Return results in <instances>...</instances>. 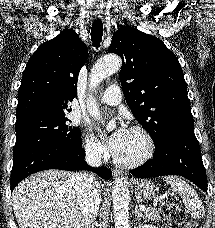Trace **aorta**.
<instances>
[{
	"label": "aorta",
	"instance_id": "obj_1",
	"mask_svg": "<svg viewBox=\"0 0 215 228\" xmlns=\"http://www.w3.org/2000/svg\"><path fill=\"white\" fill-rule=\"evenodd\" d=\"M122 66V60L119 56H108V58H101L96 62L91 70V82H102L111 74L118 72ZM90 114L94 120H100V112H98L97 104L90 102ZM129 202L130 194L128 190V182L124 176L117 178L112 188V204H113V218L115 228H130L129 226Z\"/></svg>",
	"mask_w": 215,
	"mask_h": 228
}]
</instances>
